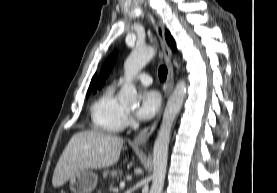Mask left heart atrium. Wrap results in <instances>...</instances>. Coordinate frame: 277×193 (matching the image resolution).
<instances>
[{"label": "left heart atrium", "mask_w": 277, "mask_h": 193, "mask_svg": "<svg viewBox=\"0 0 277 193\" xmlns=\"http://www.w3.org/2000/svg\"><path fill=\"white\" fill-rule=\"evenodd\" d=\"M161 98L154 90L143 91L140 95V104L136 116L141 120H150L156 116L160 109Z\"/></svg>", "instance_id": "obj_1"}]
</instances>
